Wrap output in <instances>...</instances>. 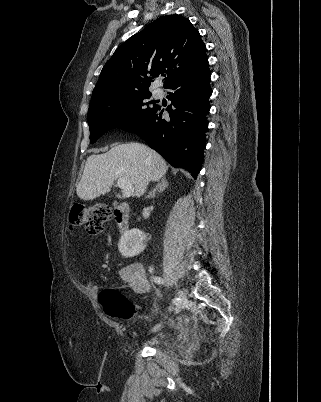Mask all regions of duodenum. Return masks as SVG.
Listing matches in <instances>:
<instances>
[{
    "mask_svg": "<svg viewBox=\"0 0 321 402\" xmlns=\"http://www.w3.org/2000/svg\"><path fill=\"white\" fill-rule=\"evenodd\" d=\"M114 219L117 229L125 232L130 226V210L127 204L117 203L114 207Z\"/></svg>",
    "mask_w": 321,
    "mask_h": 402,
    "instance_id": "410a0bca",
    "label": "duodenum"
}]
</instances>
